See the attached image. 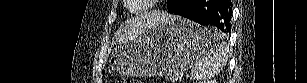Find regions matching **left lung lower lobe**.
Returning <instances> with one entry per match:
<instances>
[{"label":"left lung lower lobe","instance_id":"1","mask_svg":"<svg viewBox=\"0 0 307 83\" xmlns=\"http://www.w3.org/2000/svg\"><path fill=\"white\" fill-rule=\"evenodd\" d=\"M168 12L201 25H214L226 34L231 31L232 3L229 0H173Z\"/></svg>","mask_w":307,"mask_h":83}]
</instances>
